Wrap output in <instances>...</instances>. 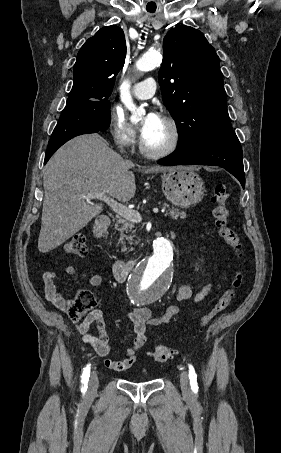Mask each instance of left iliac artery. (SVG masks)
<instances>
[{
    "label": "left iliac artery",
    "mask_w": 281,
    "mask_h": 453,
    "mask_svg": "<svg viewBox=\"0 0 281 453\" xmlns=\"http://www.w3.org/2000/svg\"><path fill=\"white\" fill-rule=\"evenodd\" d=\"M189 379L192 391H198L197 375L192 365H189Z\"/></svg>",
    "instance_id": "44dca946"
}]
</instances>
